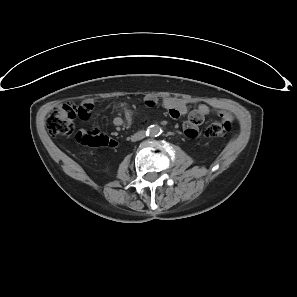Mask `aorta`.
<instances>
[{
  "mask_svg": "<svg viewBox=\"0 0 297 297\" xmlns=\"http://www.w3.org/2000/svg\"><path fill=\"white\" fill-rule=\"evenodd\" d=\"M162 129L160 126L158 125H153L151 128H150V134L152 136H159L161 133H162Z\"/></svg>",
  "mask_w": 297,
  "mask_h": 297,
  "instance_id": "aorta-1",
  "label": "aorta"
}]
</instances>
